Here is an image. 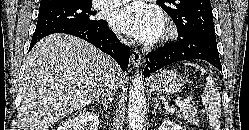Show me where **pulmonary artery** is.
<instances>
[{"label":"pulmonary artery","mask_w":249,"mask_h":130,"mask_svg":"<svg viewBox=\"0 0 249 130\" xmlns=\"http://www.w3.org/2000/svg\"><path fill=\"white\" fill-rule=\"evenodd\" d=\"M130 0H95V5L99 8L111 7L124 4Z\"/></svg>","instance_id":"1"}]
</instances>
